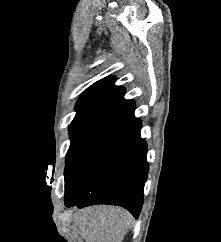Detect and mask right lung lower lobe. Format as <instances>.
<instances>
[{
  "instance_id": "obj_1",
  "label": "right lung lower lobe",
  "mask_w": 221,
  "mask_h": 242,
  "mask_svg": "<svg viewBox=\"0 0 221 242\" xmlns=\"http://www.w3.org/2000/svg\"><path fill=\"white\" fill-rule=\"evenodd\" d=\"M135 106L99 126L65 170V205H118L138 218L148 175L147 144Z\"/></svg>"
}]
</instances>
